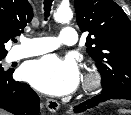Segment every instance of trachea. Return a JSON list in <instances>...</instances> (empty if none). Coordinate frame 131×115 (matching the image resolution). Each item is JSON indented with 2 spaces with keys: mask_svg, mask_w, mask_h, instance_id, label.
<instances>
[{
  "mask_svg": "<svg viewBox=\"0 0 131 115\" xmlns=\"http://www.w3.org/2000/svg\"><path fill=\"white\" fill-rule=\"evenodd\" d=\"M52 0H45L44 1V10H45V17L47 18L50 15Z\"/></svg>",
  "mask_w": 131,
  "mask_h": 115,
  "instance_id": "obj_1",
  "label": "trachea"
}]
</instances>
